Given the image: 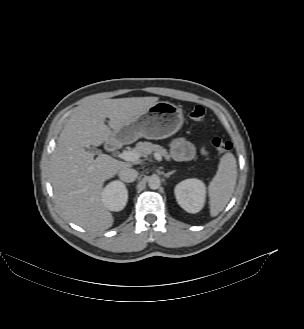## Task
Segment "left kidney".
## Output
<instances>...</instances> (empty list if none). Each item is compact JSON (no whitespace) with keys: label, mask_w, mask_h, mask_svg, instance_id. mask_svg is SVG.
Listing matches in <instances>:
<instances>
[{"label":"left kidney","mask_w":304,"mask_h":329,"mask_svg":"<svg viewBox=\"0 0 304 329\" xmlns=\"http://www.w3.org/2000/svg\"><path fill=\"white\" fill-rule=\"evenodd\" d=\"M178 204L189 213L199 212L206 198V187L199 179L191 178L178 183L174 190Z\"/></svg>","instance_id":"obj_1"}]
</instances>
